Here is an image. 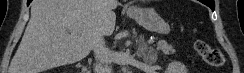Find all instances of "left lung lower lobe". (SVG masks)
I'll return each mask as SVG.
<instances>
[{
  "instance_id": "1",
  "label": "left lung lower lobe",
  "mask_w": 244,
  "mask_h": 73,
  "mask_svg": "<svg viewBox=\"0 0 244 73\" xmlns=\"http://www.w3.org/2000/svg\"><path fill=\"white\" fill-rule=\"evenodd\" d=\"M200 2L204 3L205 5L209 6L212 10L215 9V4H214V0H201Z\"/></svg>"
}]
</instances>
